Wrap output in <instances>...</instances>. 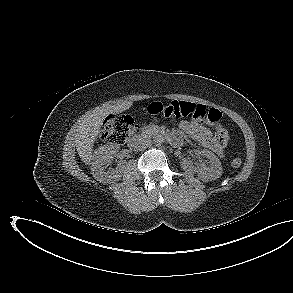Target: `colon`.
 <instances>
[{
    "mask_svg": "<svg viewBox=\"0 0 293 293\" xmlns=\"http://www.w3.org/2000/svg\"><path fill=\"white\" fill-rule=\"evenodd\" d=\"M147 113L153 116H163L166 118H184L190 117L195 120H206L217 124L216 139L221 147H224L229 140V133L219 124L221 112L215 108H207L202 104L188 101L175 100L170 104L154 102L147 108ZM136 126L131 116H121L108 119L102 129V136L113 143L124 144L134 134ZM242 161L240 158H233L230 165L233 169L240 167Z\"/></svg>",
    "mask_w": 293,
    "mask_h": 293,
    "instance_id": "obj_1",
    "label": "colon"
}]
</instances>
